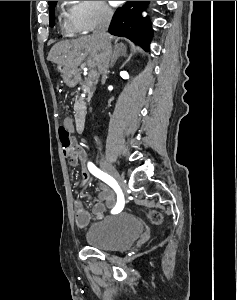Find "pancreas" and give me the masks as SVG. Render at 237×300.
I'll return each mask as SVG.
<instances>
[{
  "instance_id": "cf45deb5",
  "label": "pancreas",
  "mask_w": 237,
  "mask_h": 300,
  "mask_svg": "<svg viewBox=\"0 0 237 300\" xmlns=\"http://www.w3.org/2000/svg\"><path fill=\"white\" fill-rule=\"evenodd\" d=\"M92 85H93V79L91 77H85L84 83H82L81 89H84L86 93H88L89 97H92Z\"/></svg>"
}]
</instances>
